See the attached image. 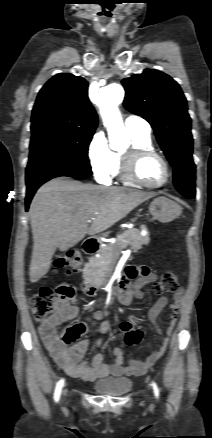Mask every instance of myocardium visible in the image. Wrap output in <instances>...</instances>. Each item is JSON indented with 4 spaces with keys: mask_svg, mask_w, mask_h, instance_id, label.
I'll use <instances>...</instances> for the list:
<instances>
[{
    "mask_svg": "<svg viewBox=\"0 0 212 438\" xmlns=\"http://www.w3.org/2000/svg\"><path fill=\"white\" fill-rule=\"evenodd\" d=\"M156 157L158 158L165 170V179L159 184H151L141 180L137 175V166L139 162L145 157ZM122 176L129 182L134 183L139 186L147 188H162L166 186L171 179V169L166 158L159 152L150 148L132 147L125 153L122 157Z\"/></svg>",
    "mask_w": 212,
    "mask_h": 438,
    "instance_id": "myocardium-1",
    "label": "myocardium"
}]
</instances>
